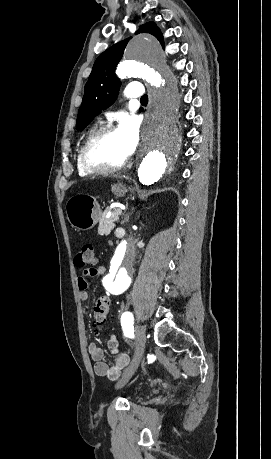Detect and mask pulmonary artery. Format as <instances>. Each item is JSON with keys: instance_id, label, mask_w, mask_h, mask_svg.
I'll use <instances>...</instances> for the list:
<instances>
[{"instance_id": "pulmonary-artery-1", "label": "pulmonary artery", "mask_w": 271, "mask_h": 459, "mask_svg": "<svg viewBox=\"0 0 271 459\" xmlns=\"http://www.w3.org/2000/svg\"><path fill=\"white\" fill-rule=\"evenodd\" d=\"M141 87L142 84L139 81H129L127 83L126 96L128 98H143L144 90ZM120 101H123V98H120Z\"/></svg>"}]
</instances>
